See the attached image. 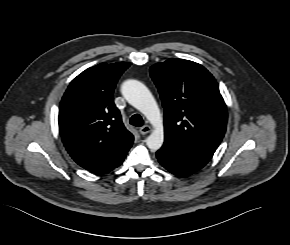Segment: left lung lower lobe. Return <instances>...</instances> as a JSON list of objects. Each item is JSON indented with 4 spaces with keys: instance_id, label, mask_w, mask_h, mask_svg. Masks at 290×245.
I'll return each mask as SVG.
<instances>
[{
    "instance_id": "obj_1",
    "label": "left lung lower lobe",
    "mask_w": 290,
    "mask_h": 245,
    "mask_svg": "<svg viewBox=\"0 0 290 245\" xmlns=\"http://www.w3.org/2000/svg\"><path fill=\"white\" fill-rule=\"evenodd\" d=\"M156 156L160 164L171 173L186 177L204 167L210 159L163 144Z\"/></svg>"
}]
</instances>
